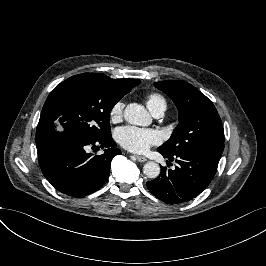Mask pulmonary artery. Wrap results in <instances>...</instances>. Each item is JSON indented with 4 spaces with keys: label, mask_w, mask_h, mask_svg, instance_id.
<instances>
[{
    "label": "pulmonary artery",
    "mask_w": 266,
    "mask_h": 266,
    "mask_svg": "<svg viewBox=\"0 0 266 266\" xmlns=\"http://www.w3.org/2000/svg\"><path fill=\"white\" fill-rule=\"evenodd\" d=\"M163 112H164V111H159V112H156V113H154V114H155V116L158 117V116H161V115L163 114Z\"/></svg>",
    "instance_id": "e3ab8cb5"
}]
</instances>
